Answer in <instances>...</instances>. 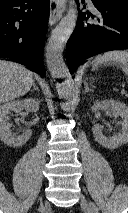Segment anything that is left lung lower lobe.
I'll list each match as a JSON object with an SVG mask.
<instances>
[{
  "instance_id": "obj_1",
  "label": "left lung lower lobe",
  "mask_w": 128,
  "mask_h": 213,
  "mask_svg": "<svg viewBox=\"0 0 128 213\" xmlns=\"http://www.w3.org/2000/svg\"><path fill=\"white\" fill-rule=\"evenodd\" d=\"M91 1L101 15L79 14L80 19L66 46L71 73L89 57L106 51L128 49V0ZM86 16L95 20L83 21Z\"/></svg>"
}]
</instances>
